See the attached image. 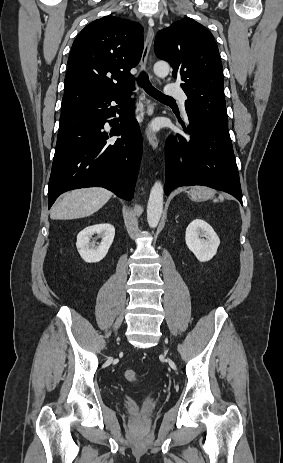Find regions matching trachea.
Listing matches in <instances>:
<instances>
[{
    "label": "trachea",
    "mask_w": 283,
    "mask_h": 463,
    "mask_svg": "<svg viewBox=\"0 0 283 463\" xmlns=\"http://www.w3.org/2000/svg\"><path fill=\"white\" fill-rule=\"evenodd\" d=\"M138 85L143 87L144 90L153 98L160 101H173L174 99L164 95L162 92L157 90L149 81L148 75L145 72H142L137 79Z\"/></svg>",
    "instance_id": "obj_1"
}]
</instances>
